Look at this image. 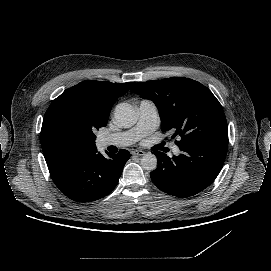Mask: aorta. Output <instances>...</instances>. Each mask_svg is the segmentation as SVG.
Segmentation results:
<instances>
[{"instance_id":"762f6f07","label":"aorta","mask_w":271,"mask_h":271,"mask_svg":"<svg viewBox=\"0 0 271 271\" xmlns=\"http://www.w3.org/2000/svg\"><path fill=\"white\" fill-rule=\"evenodd\" d=\"M114 117L117 123L124 128L132 127L138 120V115L134 107L129 103H119L115 107ZM141 166L147 171L155 170L157 167V157L150 152L144 154L141 158Z\"/></svg>"}]
</instances>
